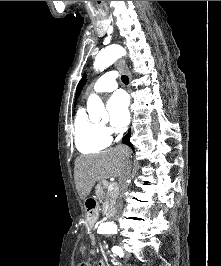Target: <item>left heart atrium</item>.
Wrapping results in <instances>:
<instances>
[{"mask_svg":"<svg viewBox=\"0 0 221 266\" xmlns=\"http://www.w3.org/2000/svg\"><path fill=\"white\" fill-rule=\"evenodd\" d=\"M129 102L127 96L122 92L115 93L107 102V110L110 123L116 128L126 126L130 119L128 110Z\"/></svg>","mask_w":221,"mask_h":266,"instance_id":"left-heart-atrium-1","label":"left heart atrium"}]
</instances>
